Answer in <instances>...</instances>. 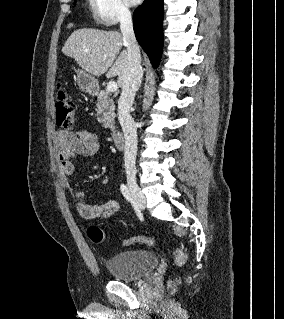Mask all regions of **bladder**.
Returning <instances> with one entry per match:
<instances>
[{"instance_id":"obj_1","label":"bladder","mask_w":284,"mask_h":319,"mask_svg":"<svg viewBox=\"0 0 284 319\" xmlns=\"http://www.w3.org/2000/svg\"><path fill=\"white\" fill-rule=\"evenodd\" d=\"M104 264L115 279L133 281L150 273L157 266L158 257L149 250H126L106 259Z\"/></svg>"}]
</instances>
